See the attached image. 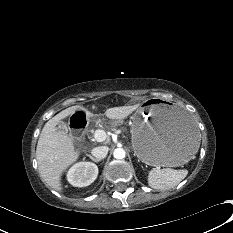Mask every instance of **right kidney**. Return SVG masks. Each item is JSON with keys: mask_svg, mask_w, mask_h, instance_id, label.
<instances>
[{"mask_svg": "<svg viewBox=\"0 0 233 233\" xmlns=\"http://www.w3.org/2000/svg\"><path fill=\"white\" fill-rule=\"evenodd\" d=\"M98 167L91 162H79L73 165L67 174L69 183L75 187H85L95 181Z\"/></svg>", "mask_w": 233, "mask_h": 233, "instance_id": "1", "label": "right kidney"}]
</instances>
